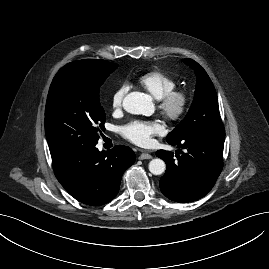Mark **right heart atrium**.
Segmentation results:
<instances>
[{
  "instance_id": "1",
  "label": "right heart atrium",
  "mask_w": 269,
  "mask_h": 269,
  "mask_svg": "<svg viewBox=\"0 0 269 269\" xmlns=\"http://www.w3.org/2000/svg\"><path fill=\"white\" fill-rule=\"evenodd\" d=\"M129 90V86L125 83L119 85L110 97V106L113 110H119L122 107L124 98Z\"/></svg>"
}]
</instances>
